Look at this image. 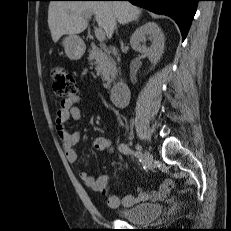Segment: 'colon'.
<instances>
[{
  "label": "colon",
  "instance_id": "colon-1",
  "mask_svg": "<svg viewBox=\"0 0 231 231\" xmlns=\"http://www.w3.org/2000/svg\"><path fill=\"white\" fill-rule=\"evenodd\" d=\"M51 80L56 96L67 99L76 94V81L64 67L54 66L51 69Z\"/></svg>",
  "mask_w": 231,
  "mask_h": 231
}]
</instances>
